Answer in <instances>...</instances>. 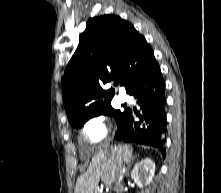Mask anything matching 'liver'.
<instances>
[{
    "label": "liver",
    "instance_id": "6515ba94",
    "mask_svg": "<svg viewBox=\"0 0 221 193\" xmlns=\"http://www.w3.org/2000/svg\"><path fill=\"white\" fill-rule=\"evenodd\" d=\"M132 154L130 145L99 149L87 171L78 177L74 193H97L100 179L108 186L115 183L118 165L128 163Z\"/></svg>",
    "mask_w": 221,
    "mask_h": 193
}]
</instances>
